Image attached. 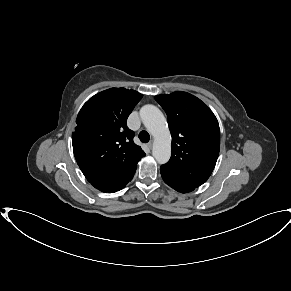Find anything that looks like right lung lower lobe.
Here are the masks:
<instances>
[{"mask_svg":"<svg viewBox=\"0 0 291 291\" xmlns=\"http://www.w3.org/2000/svg\"><path fill=\"white\" fill-rule=\"evenodd\" d=\"M135 166L128 173L120 176V177H112V178H102V179H93L88 180L95 188L102 192L113 193L121 190L126 186V184L132 180L134 173L136 171Z\"/></svg>","mask_w":291,"mask_h":291,"instance_id":"obj_1","label":"right lung lower lobe"}]
</instances>
